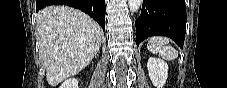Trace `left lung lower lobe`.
<instances>
[{"label":"left lung lower lobe","mask_w":227,"mask_h":88,"mask_svg":"<svg viewBox=\"0 0 227 88\" xmlns=\"http://www.w3.org/2000/svg\"><path fill=\"white\" fill-rule=\"evenodd\" d=\"M135 26L137 46L149 36L164 35L182 48L186 31L184 0H143Z\"/></svg>","instance_id":"1"}]
</instances>
